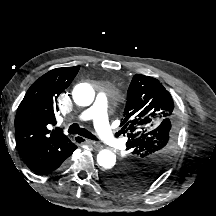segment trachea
<instances>
[{"label":"trachea","mask_w":216,"mask_h":216,"mask_svg":"<svg viewBox=\"0 0 216 216\" xmlns=\"http://www.w3.org/2000/svg\"><path fill=\"white\" fill-rule=\"evenodd\" d=\"M68 132L70 134H78V135L83 136V137L88 138V139L98 140L92 133H90L88 130H86L84 128H81L78 124H72L69 127Z\"/></svg>","instance_id":"trachea-1"}]
</instances>
